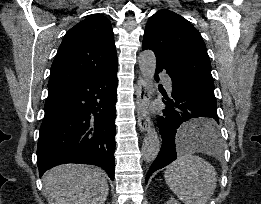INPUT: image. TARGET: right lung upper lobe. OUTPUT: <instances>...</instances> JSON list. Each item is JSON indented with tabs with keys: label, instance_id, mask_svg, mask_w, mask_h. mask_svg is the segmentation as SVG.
Returning a JSON list of instances; mask_svg holds the SVG:
<instances>
[{
	"label": "right lung upper lobe",
	"instance_id": "cb5924a9",
	"mask_svg": "<svg viewBox=\"0 0 261 204\" xmlns=\"http://www.w3.org/2000/svg\"><path fill=\"white\" fill-rule=\"evenodd\" d=\"M116 66L110 21L105 16L91 15L65 34L51 66L48 89L98 76Z\"/></svg>",
	"mask_w": 261,
	"mask_h": 204
}]
</instances>
